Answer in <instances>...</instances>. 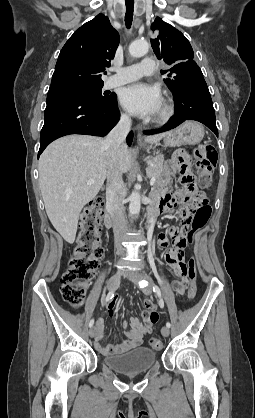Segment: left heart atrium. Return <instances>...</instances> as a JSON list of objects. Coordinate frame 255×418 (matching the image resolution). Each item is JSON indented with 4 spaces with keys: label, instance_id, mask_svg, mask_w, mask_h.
I'll return each instance as SVG.
<instances>
[{
    "label": "left heart atrium",
    "instance_id": "1",
    "mask_svg": "<svg viewBox=\"0 0 255 418\" xmlns=\"http://www.w3.org/2000/svg\"><path fill=\"white\" fill-rule=\"evenodd\" d=\"M120 100L125 109L140 117L153 115L162 107L160 90L146 83H135L126 87Z\"/></svg>",
    "mask_w": 255,
    "mask_h": 418
}]
</instances>
